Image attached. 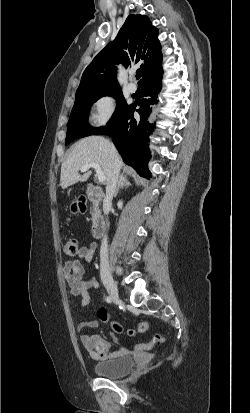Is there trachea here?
Instances as JSON below:
<instances>
[{
  "instance_id": "1",
  "label": "trachea",
  "mask_w": 250,
  "mask_h": 413,
  "mask_svg": "<svg viewBox=\"0 0 250 413\" xmlns=\"http://www.w3.org/2000/svg\"><path fill=\"white\" fill-rule=\"evenodd\" d=\"M140 75H141V72H140V70H138V71L136 72V78H137V80L140 79Z\"/></svg>"
}]
</instances>
